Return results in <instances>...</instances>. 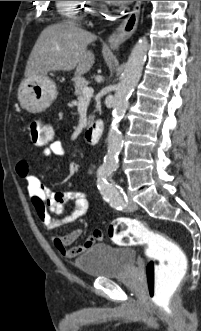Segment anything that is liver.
Here are the masks:
<instances>
[{
  "mask_svg": "<svg viewBox=\"0 0 201 331\" xmlns=\"http://www.w3.org/2000/svg\"><path fill=\"white\" fill-rule=\"evenodd\" d=\"M96 36L73 22L47 26L38 37L25 68L26 78H38L52 71H71L75 76L88 72L95 62L89 43Z\"/></svg>",
  "mask_w": 201,
  "mask_h": 331,
  "instance_id": "liver-1",
  "label": "liver"
}]
</instances>
